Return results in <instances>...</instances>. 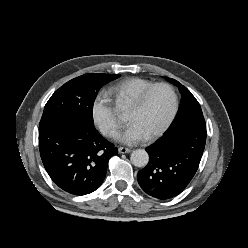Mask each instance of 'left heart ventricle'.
<instances>
[{"label":"left heart ventricle","mask_w":248,"mask_h":248,"mask_svg":"<svg viewBox=\"0 0 248 248\" xmlns=\"http://www.w3.org/2000/svg\"><path fill=\"white\" fill-rule=\"evenodd\" d=\"M172 109V95L165 87L154 89L140 110L129 107L127 121L136 124L147 136L158 131L168 119Z\"/></svg>","instance_id":"left-heart-ventricle-1"}]
</instances>
